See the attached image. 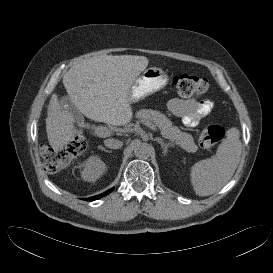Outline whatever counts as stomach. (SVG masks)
Segmentation results:
<instances>
[{"label": "stomach", "instance_id": "0dacf381", "mask_svg": "<svg viewBox=\"0 0 273 273\" xmlns=\"http://www.w3.org/2000/svg\"><path fill=\"white\" fill-rule=\"evenodd\" d=\"M167 73L159 67L147 68L139 75L129 89V103H136L164 88L168 83Z\"/></svg>", "mask_w": 273, "mask_h": 273}]
</instances>
